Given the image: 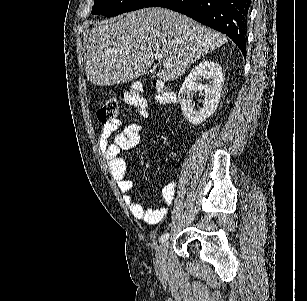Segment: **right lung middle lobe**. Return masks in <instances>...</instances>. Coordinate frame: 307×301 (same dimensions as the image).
<instances>
[{"mask_svg": "<svg viewBox=\"0 0 307 301\" xmlns=\"http://www.w3.org/2000/svg\"><path fill=\"white\" fill-rule=\"evenodd\" d=\"M152 0H94L92 14L113 17L124 12L144 8Z\"/></svg>", "mask_w": 307, "mask_h": 301, "instance_id": "obj_1", "label": "right lung middle lobe"}]
</instances>
